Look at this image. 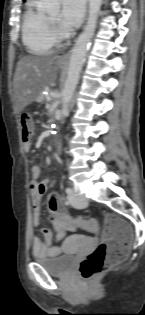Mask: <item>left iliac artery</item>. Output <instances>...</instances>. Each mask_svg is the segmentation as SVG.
I'll use <instances>...</instances> for the list:
<instances>
[{"label": "left iliac artery", "instance_id": "1", "mask_svg": "<svg viewBox=\"0 0 145 315\" xmlns=\"http://www.w3.org/2000/svg\"><path fill=\"white\" fill-rule=\"evenodd\" d=\"M65 191H66L67 194H71V193H72V189L69 188V187H67V188L65 189Z\"/></svg>", "mask_w": 145, "mask_h": 315}]
</instances>
